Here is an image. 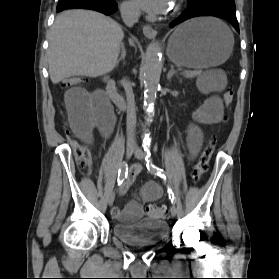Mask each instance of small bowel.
Instances as JSON below:
<instances>
[{
	"label": "small bowel",
	"mask_w": 279,
	"mask_h": 279,
	"mask_svg": "<svg viewBox=\"0 0 279 279\" xmlns=\"http://www.w3.org/2000/svg\"><path fill=\"white\" fill-rule=\"evenodd\" d=\"M66 108L73 133L86 143L92 142L94 129H97L104 139L113 133L116 118L113 109L101 91L89 92L82 87H75L65 95ZM223 106L218 96L209 97L204 104L194 112V123L187 132V143L194 156L202 142V132L197 124H213L221 120ZM142 171L140 164L131 166L127 185L131 184ZM162 188L156 182H147L140 194V199L131 200L123 210L115 207L111 213L114 218L122 221H135L143 216L142 203L155 201L161 198Z\"/></svg>",
	"instance_id": "c3829d8e"
}]
</instances>
